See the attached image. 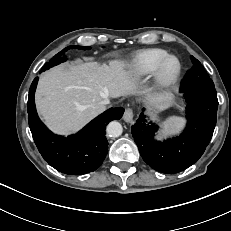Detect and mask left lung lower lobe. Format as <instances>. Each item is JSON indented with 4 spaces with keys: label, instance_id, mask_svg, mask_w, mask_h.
<instances>
[{
    "label": "left lung lower lobe",
    "instance_id": "left-lung-lower-lobe-1",
    "mask_svg": "<svg viewBox=\"0 0 231 231\" xmlns=\"http://www.w3.org/2000/svg\"><path fill=\"white\" fill-rule=\"evenodd\" d=\"M180 92L187 102L188 123L179 137L156 141L154 136L158 126L156 123H148L144 112L131 127L143 160L151 168L165 174H175L193 165L204 153L216 125V93L198 89H180Z\"/></svg>",
    "mask_w": 231,
    "mask_h": 231
}]
</instances>
